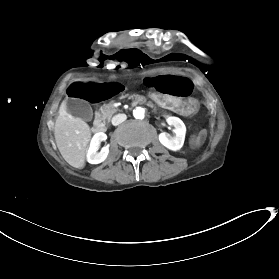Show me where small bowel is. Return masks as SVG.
<instances>
[{
    "label": "small bowel",
    "mask_w": 279,
    "mask_h": 279,
    "mask_svg": "<svg viewBox=\"0 0 279 279\" xmlns=\"http://www.w3.org/2000/svg\"><path fill=\"white\" fill-rule=\"evenodd\" d=\"M144 84L153 92L171 96L184 97L192 92L191 81L182 75L160 74L144 79Z\"/></svg>",
    "instance_id": "1"
}]
</instances>
